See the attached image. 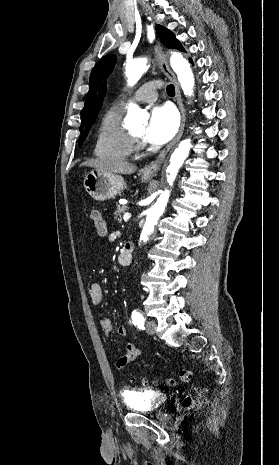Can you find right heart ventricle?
Returning a JSON list of instances; mask_svg holds the SVG:
<instances>
[{
    "label": "right heart ventricle",
    "instance_id": "1",
    "mask_svg": "<svg viewBox=\"0 0 279 465\" xmlns=\"http://www.w3.org/2000/svg\"><path fill=\"white\" fill-rule=\"evenodd\" d=\"M122 114V106L113 105L103 115L94 146L97 157L123 160L133 153L130 131L122 123Z\"/></svg>",
    "mask_w": 279,
    "mask_h": 465
}]
</instances>
